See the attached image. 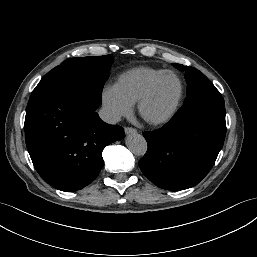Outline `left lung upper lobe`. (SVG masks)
<instances>
[{
    "label": "left lung upper lobe",
    "instance_id": "5c2ea615",
    "mask_svg": "<svg viewBox=\"0 0 257 257\" xmlns=\"http://www.w3.org/2000/svg\"><path fill=\"white\" fill-rule=\"evenodd\" d=\"M176 68L185 70V78L188 84L187 97L180 109H189L208 101L222 100L223 97L215 86L199 70L181 64H173Z\"/></svg>",
    "mask_w": 257,
    "mask_h": 257
}]
</instances>
